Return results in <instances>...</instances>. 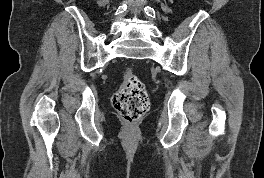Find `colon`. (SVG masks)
Returning <instances> with one entry per match:
<instances>
[{
    "instance_id": "1",
    "label": "colon",
    "mask_w": 264,
    "mask_h": 178,
    "mask_svg": "<svg viewBox=\"0 0 264 178\" xmlns=\"http://www.w3.org/2000/svg\"><path fill=\"white\" fill-rule=\"evenodd\" d=\"M112 106L128 123L137 122L149 107L144 84L130 70L123 74L121 86L112 96Z\"/></svg>"
}]
</instances>
